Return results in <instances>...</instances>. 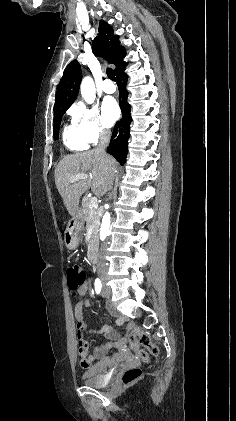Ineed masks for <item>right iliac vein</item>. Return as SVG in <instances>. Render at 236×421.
Here are the masks:
<instances>
[{"label": "right iliac vein", "instance_id": "obj_1", "mask_svg": "<svg viewBox=\"0 0 236 421\" xmlns=\"http://www.w3.org/2000/svg\"><path fill=\"white\" fill-rule=\"evenodd\" d=\"M106 295H110V291H106Z\"/></svg>", "mask_w": 236, "mask_h": 421}]
</instances>
